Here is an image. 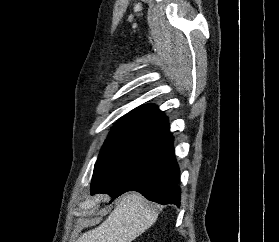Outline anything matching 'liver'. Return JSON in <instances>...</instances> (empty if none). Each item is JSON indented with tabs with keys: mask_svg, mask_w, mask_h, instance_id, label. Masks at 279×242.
<instances>
[{
	"mask_svg": "<svg viewBox=\"0 0 279 242\" xmlns=\"http://www.w3.org/2000/svg\"><path fill=\"white\" fill-rule=\"evenodd\" d=\"M157 218L158 212L153 205L147 204L142 195L130 193L121 198L101 225L83 233L77 242H132Z\"/></svg>",
	"mask_w": 279,
	"mask_h": 242,
	"instance_id": "6515ba94",
	"label": "liver"
}]
</instances>
